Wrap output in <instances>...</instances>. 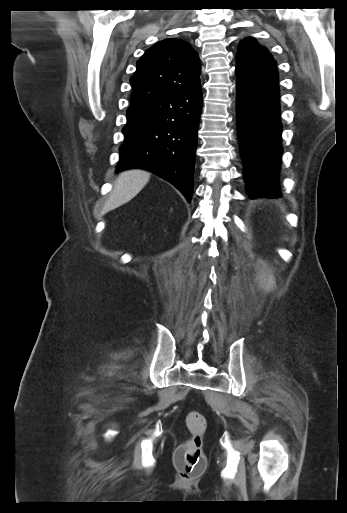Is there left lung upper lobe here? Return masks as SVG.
I'll return each instance as SVG.
<instances>
[{
  "label": "left lung upper lobe",
  "instance_id": "obj_1",
  "mask_svg": "<svg viewBox=\"0 0 347 513\" xmlns=\"http://www.w3.org/2000/svg\"><path fill=\"white\" fill-rule=\"evenodd\" d=\"M237 59H244L264 65H275L268 50L259 46L254 38H245L238 47Z\"/></svg>",
  "mask_w": 347,
  "mask_h": 513
}]
</instances>
